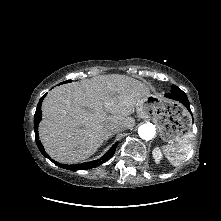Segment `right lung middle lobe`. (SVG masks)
I'll return each instance as SVG.
<instances>
[{
    "mask_svg": "<svg viewBox=\"0 0 221 221\" xmlns=\"http://www.w3.org/2000/svg\"><path fill=\"white\" fill-rule=\"evenodd\" d=\"M69 82H71V80H67V81H64V82H62V83H69Z\"/></svg>",
    "mask_w": 221,
    "mask_h": 221,
    "instance_id": "1",
    "label": "right lung middle lobe"
}]
</instances>
